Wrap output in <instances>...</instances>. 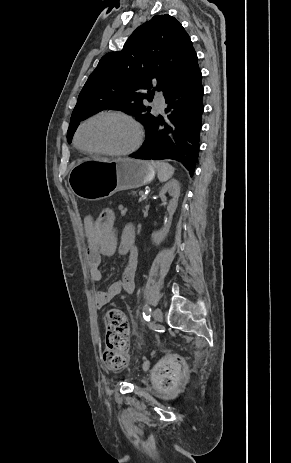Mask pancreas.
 <instances>
[{
	"mask_svg": "<svg viewBox=\"0 0 291 463\" xmlns=\"http://www.w3.org/2000/svg\"><path fill=\"white\" fill-rule=\"evenodd\" d=\"M129 196H132V197H137V192L136 191H131L130 193H128Z\"/></svg>",
	"mask_w": 291,
	"mask_h": 463,
	"instance_id": "pancreas-1",
	"label": "pancreas"
}]
</instances>
